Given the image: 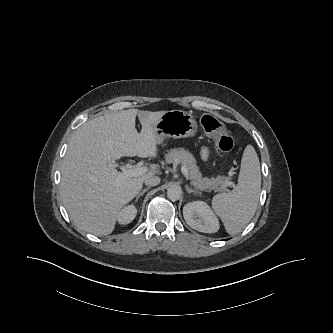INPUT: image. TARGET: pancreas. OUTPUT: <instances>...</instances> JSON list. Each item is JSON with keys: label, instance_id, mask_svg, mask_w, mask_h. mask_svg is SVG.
<instances>
[{"label": "pancreas", "instance_id": "cf45deb5", "mask_svg": "<svg viewBox=\"0 0 333 333\" xmlns=\"http://www.w3.org/2000/svg\"><path fill=\"white\" fill-rule=\"evenodd\" d=\"M165 159L167 163H182L189 171L191 184L201 191H222L227 190V187L231 185L229 177L217 176L203 178L194 156L183 148L171 149L165 155Z\"/></svg>", "mask_w": 333, "mask_h": 333}]
</instances>
